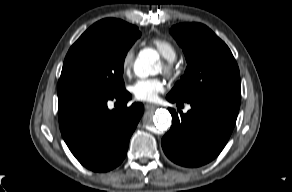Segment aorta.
<instances>
[{
	"instance_id": "762f6f07",
	"label": "aorta",
	"mask_w": 292,
	"mask_h": 192,
	"mask_svg": "<svg viewBox=\"0 0 292 192\" xmlns=\"http://www.w3.org/2000/svg\"><path fill=\"white\" fill-rule=\"evenodd\" d=\"M159 56L153 49H145L141 51L134 63V72L140 78H146L149 75H154L158 72ZM171 115L166 109H158L155 112L150 123L154 124L157 129L167 130L171 124ZM150 123L148 125H150Z\"/></svg>"
}]
</instances>
